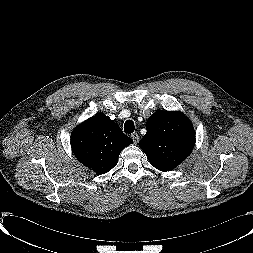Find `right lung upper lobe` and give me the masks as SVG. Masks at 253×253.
I'll list each match as a JSON object with an SVG mask.
<instances>
[{"label":"right lung upper lobe","mask_w":253,"mask_h":253,"mask_svg":"<svg viewBox=\"0 0 253 253\" xmlns=\"http://www.w3.org/2000/svg\"><path fill=\"white\" fill-rule=\"evenodd\" d=\"M133 140L103 113L78 125L71 136L76 158L96 174H104L118 162L121 151Z\"/></svg>","instance_id":"1"}]
</instances>
